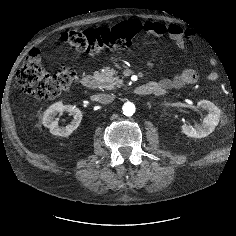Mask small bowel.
I'll list each match as a JSON object with an SVG mask.
<instances>
[{
  "label": "small bowel",
  "instance_id": "small-bowel-1",
  "mask_svg": "<svg viewBox=\"0 0 236 236\" xmlns=\"http://www.w3.org/2000/svg\"><path fill=\"white\" fill-rule=\"evenodd\" d=\"M144 29L152 36L162 37L168 35L180 48L186 46V38H193L192 34H188V30L177 24H164L158 21L150 20L144 24ZM210 62L214 61V57H209ZM198 74L192 69H186L172 78H166L159 81L151 82L154 86V94L163 95L173 89H179L185 85L194 84L198 81ZM210 81L218 79V73L214 70L208 74Z\"/></svg>",
  "mask_w": 236,
  "mask_h": 236
}]
</instances>
